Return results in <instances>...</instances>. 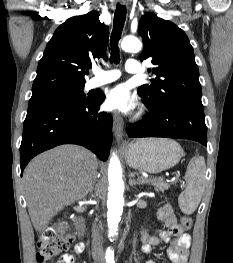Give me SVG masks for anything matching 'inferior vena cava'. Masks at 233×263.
<instances>
[{
  "label": "inferior vena cava",
  "mask_w": 233,
  "mask_h": 263,
  "mask_svg": "<svg viewBox=\"0 0 233 263\" xmlns=\"http://www.w3.org/2000/svg\"><path fill=\"white\" fill-rule=\"evenodd\" d=\"M92 255L95 263H105L101 237L96 224H93L92 228Z\"/></svg>",
  "instance_id": "602c4592"
}]
</instances>
